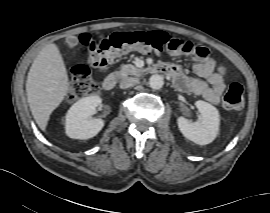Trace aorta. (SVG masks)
<instances>
[{
	"instance_id": "1",
	"label": "aorta",
	"mask_w": 270,
	"mask_h": 213,
	"mask_svg": "<svg viewBox=\"0 0 270 213\" xmlns=\"http://www.w3.org/2000/svg\"><path fill=\"white\" fill-rule=\"evenodd\" d=\"M149 85L152 89H161L164 85V78L159 74H154L149 79Z\"/></svg>"
}]
</instances>
